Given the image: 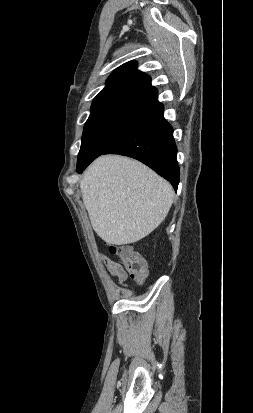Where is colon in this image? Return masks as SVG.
<instances>
[{"mask_svg": "<svg viewBox=\"0 0 253 413\" xmlns=\"http://www.w3.org/2000/svg\"><path fill=\"white\" fill-rule=\"evenodd\" d=\"M111 254L118 256L124 263L129 276L136 282L142 283L148 275L147 264L129 245H110Z\"/></svg>", "mask_w": 253, "mask_h": 413, "instance_id": "5ec220e1", "label": "colon"}]
</instances>
